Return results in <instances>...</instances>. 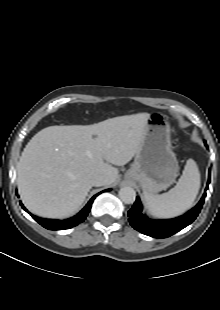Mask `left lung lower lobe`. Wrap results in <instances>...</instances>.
I'll return each instance as SVG.
<instances>
[{
    "instance_id": "obj_1",
    "label": "left lung lower lobe",
    "mask_w": 220,
    "mask_h": 310,
    "mask_svg": "<svg viewBox=\"0 0 220 310\" xmlns=\"http://www.w3.org/2000/svg\"><path fill=\"white\" fill-rule=\"evenodd\" d=\"M210 180L211 172L209 170L206 189H208V184L210 183ZM205 196L206 190L201 200L194 208H192L190 211L180 217L169 220L149 219L145 214H143L141 201L139 197H137L134 205L128 211V216L130 217L129 222L134 229L141 232L142 234L160 239L167 238L179 232L196 219L203 206Z\"/></svg>"
}]
</instances>
